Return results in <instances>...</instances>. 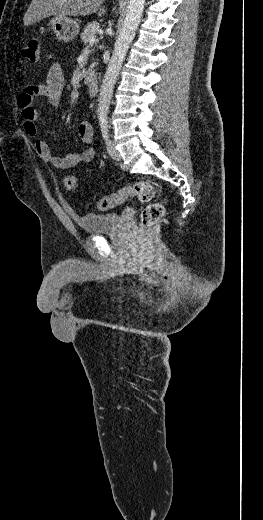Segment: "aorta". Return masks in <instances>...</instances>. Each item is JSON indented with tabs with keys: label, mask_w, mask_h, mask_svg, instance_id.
Returning a JSON list of instances; mask_svg holds the SVG:
<instances>
[{
	"label": "aorta",
	"mask_w": 263,
	"mask_h": 520,
	"mask_svg": "<svg viewBox=\"0 0 263 520\" xmlns=\"http://www.w3.org/2000/svg\"><path fill=\"white\" fill-rule=\"evenodd\" d=\"M144 5L145 0H129L127 15L122 24L98 97L97 112L100 121H105L107 119L116 79L127 51L135 37L136 29L142 17Z\"/></svg>",
	"instance_id": "762f6f07"
}]
</instances>
